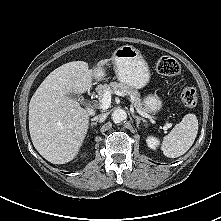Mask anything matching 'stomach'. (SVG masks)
I'll list each match as a JSON object with an SVG mask.
<instances>
[{
    "label": "stomach",
    "mask_w": 221,
    "mask_h": 221,
    "mask_svg": "<svg viewBox=\"0 0 221 221\" xmlns=\"http://www.w3.org/2000/svg\"><path fill=\"white\" fill-rule=\"evenodd\" d=\"M112 60L117 78L123 84L140 89L149 83V66L135 47L124 45L117 48L113 52ZM93 73L98 80H102L105 76V70L99 65L93 70ZM143 103L151 113L159 112L163 105L160 97L152 94L148 95Z\"/></svg>",
    "instance_id": "1"
}]
</instances>
